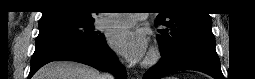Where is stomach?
I'll return each instance as SVG.
<instances>
[{"mask_svg":"<svg viewBox=\"0 0 255 79\" xmlns=\"http://www.w3.org/2000/svg\"><path fill=\"white\" fill-rule=\"evenodd\" d=\"M167 79H173V77H168Z\"/></svg>","mask_w":255,"mask_h":79,"instance_id":"obj_1","label":"stomach"}]
</instances>
